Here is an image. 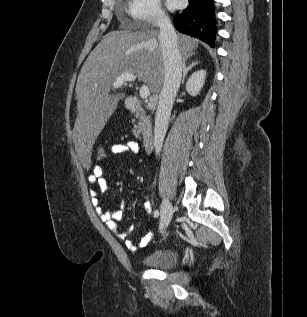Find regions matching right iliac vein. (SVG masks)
Instances as JSON below:
<instances>
[{"instance_id": "63e3f726", "label": "right iliac vein", "mask_w": 307, "mask_h": 317, "mask_svg": "<svg viewBox=\"0 0 307 317\" xmlns=\"http://www.w3.org/2000/svg\"><path fill=\"white\" fill-rule=\"evenodd\" d=\"M173 215V207L169 200L165 199L161 206V214H160V231H164L171 222Z\"/></svg>"}]
</instances>
